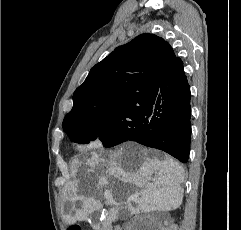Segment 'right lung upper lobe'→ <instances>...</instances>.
<instances>
[{
    "instance_id": "cb5924a9",
    "label": "right lung upper lobe",
    "mask_w": 241,
    "mask_h": 230,
    "mask_svg": "<svg viewBox=\"0 0 241 230\" xmlns=\"http://www.w3.org/2000/svg\"><path fill=\"white\" fill-rule=\"evenodd\" d=\"M176 59L169 43L154 34H141L117 47L75 90L64 130L79 122L105 119L112 109L134 108L151 101Z\"/></svg>"
}]
</instances>
